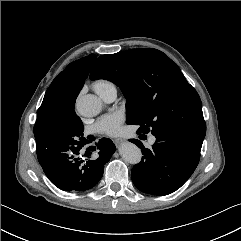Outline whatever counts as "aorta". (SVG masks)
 <instances>
[{
  "mask_svg": "<svg viewBox=\"0 0 241 241\" xmlns=\"http://www.w3.org/2000/svg\"><path fill=\"white\" fill-rule=\"evenodd\" d=\"M76 109L84 117H93L102 110L101 100L93 94L81 95L76 100ZM121 157L130 164H138L142 158L139 147L131 142L123 143L119 148Z\"/></svg>",
  "mask_w": 241,
  "mask_h": 241,
  "instance_id": "aorta-1",
  "label": "aorta"
}]
</instances>
